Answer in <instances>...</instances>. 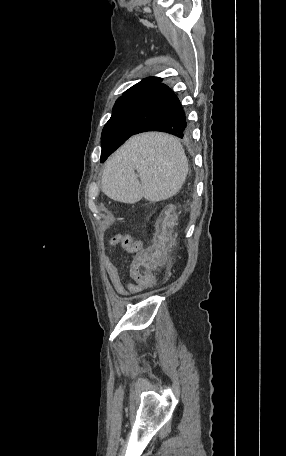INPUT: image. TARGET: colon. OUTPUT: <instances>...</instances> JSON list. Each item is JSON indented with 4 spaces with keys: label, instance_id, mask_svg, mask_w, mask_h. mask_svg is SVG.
Wrapping results in <instances>:
<instances>
[{
    "label": "colon",
    "instance_id": "obj_1",
    "mask_svg": "<svg viewBox=\"0 0 286 456\" xmlns=\"http://www.w3.org/2000/svg\"><path fill=\"white\" fill-rule=\"evenodd\" d=\"M137 252L130 275L136 287L142 290L156 284V271L162 269L167 261L168 235L162 221L157 224L154 243L145 248L143 245L138 246Z\"/></svg>",
    "mask_w": 286,
    "mask_h": 456
}]
</instances>
